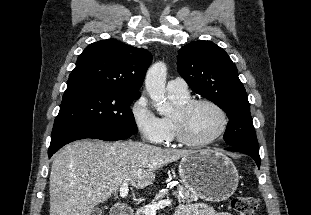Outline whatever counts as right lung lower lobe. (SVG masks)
<instances>
[{"label":"right lung lower lobe","mask_w":311,"mask_h":215,"mask_svg":"<svg viewBox=\"0 0 311 215\" xmlns=\"http://www.w3.org/2000/svg\"><path fill=\"white\" fill-rule=\"evenodd\" d=\"M131 135L132 133H128V132H112V131H107V132L85 131V132L63 134V135L52 138L50 147L48 150V156L50 158L62 146L75 140H80V139H85V138H96V139L105 140V141H115V140L128 139Z\"/></svg>","instance_id":"obj_1"}]
</instances>
